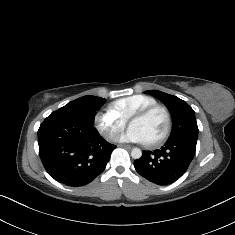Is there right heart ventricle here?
I'll use <instances>...</instances> for the list:
<instances>
[{
    "mask_svg": "<svg viewBox=\"0 0 235 235\" xmlns=\"http://www.w3.org/2000/svg\"><path fill=\"white\" fill-rule=\"evenodd\" d=\"M156 104L157 101L149 95L134 94L119 98L110 105L116 114L128 120L137 112Z\"/></svg>",
    "mask_w": 235,
    "mask_h": 235,
    "instance_id": "right-heart-ventricle-1",
    "label": "right heart ventricle"
}]
</instances>
